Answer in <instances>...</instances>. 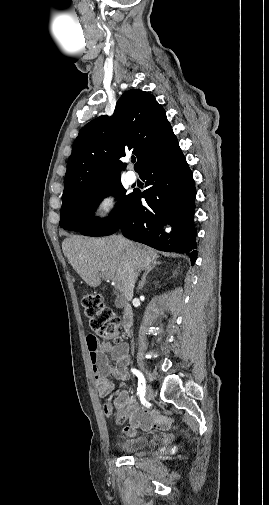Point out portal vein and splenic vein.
I'll return each mask as SVG.
<instances>
[{"label":"portal vein and splenic vein","mask_w":269,"mask_h":505,"mask_svg":"<svg viewBox=\"0 0 269 505\" xmlns=\"http://www.w3.org/2000/svg\"><path fill=\"white\" fill-rule=\"evenodd\" d=\"M101 277L103 279L107 280V281L112 280L113 281L112 284L114 285L115 289L118 290V291L121 290V285L119 283H116L115 280H114V278L112 276H108V275L104 276V275H102Z\"/></svg>","instance_id":"obj_1"}]
</instances>
